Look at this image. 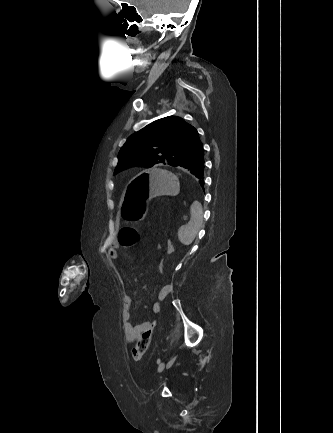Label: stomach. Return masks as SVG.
<instances>
[{"label":"stomach","instance_id":"0dacf381","mask_svg":"<svg viewBox=\"0 0 333 433\" xmlns=\"http://www.w3.org/2000/svg\"><path fill=\"white\" fill-rule=\"evenodd\" d=\"M179 190L173 169H143L125 191L121 217L128 224L139 225L147 214V203L151 198L161 195L176 198Z\"/></svg>","mask_w":333,"mask_h":433}]
</instances>
